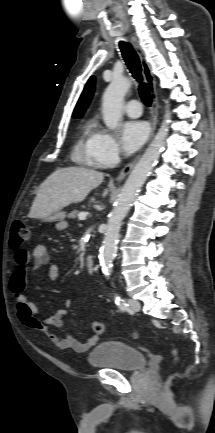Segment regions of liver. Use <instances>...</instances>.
I'll return each instance as SVG.
<instances>
[{
    "instance_id": "1",
    "label": "liver",
    "mask_w": 215,
    "mask_h": 433,
    "mask_svg": "<svg viewBox=\"0 0 215 433\" xmlns=\"http://www.w3.org/2000/svg\"><path fill=\"white\" fill-rule=\"evenodd\" d=\"M104 179L102 172L84 167L57 169L39 186L29 217L45 219L64 207L83 201Z\"/></svg>"
}]
</instances>
